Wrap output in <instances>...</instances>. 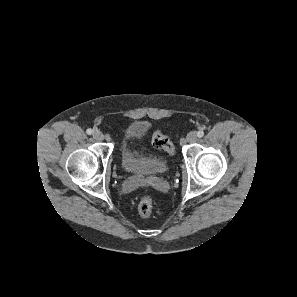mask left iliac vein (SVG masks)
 <instances>
[{
  "instance_id": "1",
  "label": "left iliac vein",
  "mask_w": 297,
  "mask_h": 297,
  "mask_svg": "<svg viewBox=\"0 0 297 297\" xmlns=\"http://www.w3.org/2000/svg\"><path fill=\"white\" fill-rule=\"evenodd\" d=\"M186 140L190 143H193L197 140V133L194 131H191L187 134Z\"/></svg>"
}]
</instances>
